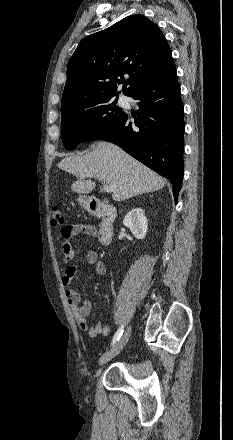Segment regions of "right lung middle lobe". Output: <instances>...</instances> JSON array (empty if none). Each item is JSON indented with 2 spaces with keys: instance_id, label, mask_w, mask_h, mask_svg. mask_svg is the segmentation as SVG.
<instances>
[{
  "instance_id": "1",
  "label": "right lung middle lobe",
  "mask_w": 233,
  "mask_h": 440,
  "mask_svg": "<svg viewBox=\"0 0 233 440\" xmlns=\"http://www.w3.org/2000/svg\"><path fill=\"white\" fill-rule=\"evenodd\" d=\"M117 98H96L61 109L62 141L73 150L78 143L101 139L124 117L115 104Z\"/></svg>"
}]
</instances>
